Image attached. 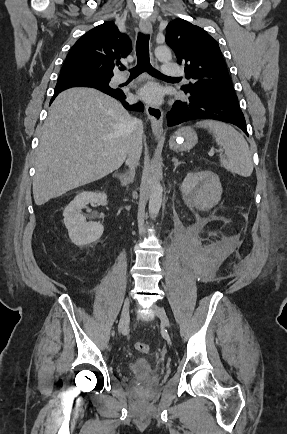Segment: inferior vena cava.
Masks as SVG:
<instances>
[{"mask_svg": "<svg viewBox=\"0 0 287 434\" xmlns=\"http://www.w3.org/2000/svg\"><path fill=\"white\" fill-rule=\"evenodd\" d=\"M131 127L132 137L126 164L129 166L134 176L135 167L139 164L142 152L143 123L141 120L134 118L131 122Z\"/></svg>", "mask_w": 287, "mask_h": 434, "instance_id": "1", "label": "inferior vena cava"}]
</instances>
